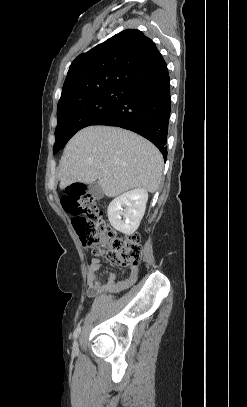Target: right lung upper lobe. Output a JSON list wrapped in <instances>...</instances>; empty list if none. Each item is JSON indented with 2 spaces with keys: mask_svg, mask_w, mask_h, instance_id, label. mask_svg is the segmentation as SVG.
<instances>
[{
  "mask_svg": "<svg viewBox=\"0 0 247 407\" xmlns=\"http://www.w3.org/2000/svg\"><path fill=\"white\" fill-rule=\"evenodd\" d=\"M165 65L151 39L139 30H124L75 58L57 108L106 88L132 87Z\"/></svg>",
  "mask_w": 247,
  "mask_h": 407,
  "instance_id": "obj_1",
  "label": "right lung upper lobe"
}]
</instances>
